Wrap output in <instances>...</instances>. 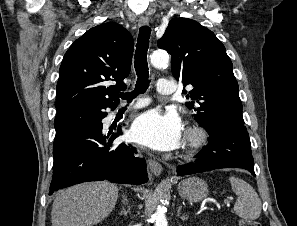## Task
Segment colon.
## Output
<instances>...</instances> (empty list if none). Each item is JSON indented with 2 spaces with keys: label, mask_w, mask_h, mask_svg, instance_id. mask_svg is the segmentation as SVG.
Segmentation results:
<instances>
[{
  "label": "colon",
  "mask_w": 297,
  "mask_h": 226,
  "mask_svg": "<svg viewBox=\"0 0 297 226\" xmlns=\"http://www.w3.org/2000/svg\"><path fill=\"white\" fill-rule=\"evenodd\" d=\"M238 226H261V224L255 220L240 219L238 222Z\"/></svg>",
  "instance_id": "obj_1"
}]
</instances>
